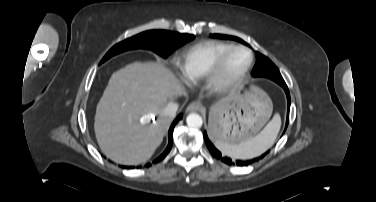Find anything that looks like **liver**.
<instances>
[{
    "mask_svg": "<svg viewBox=\"0 0 376 202\" xmlns=\"http://www.w3.org/2000/svg\"><path fill=\"white\" fill-rule=\"evenodd\" d=\"M183 94L179 80L160 58L114 72L96 109L94 130L101 151L118 164L146 162L172 121L162 115L163 109L168 100ZM152 117L156 120L150 121Z\"/></svg>",
    "mask_w": 376,
    "mask_h": 202,
    "instance_id": "liver-1",
    "label": "liver"
}]
</instances>
